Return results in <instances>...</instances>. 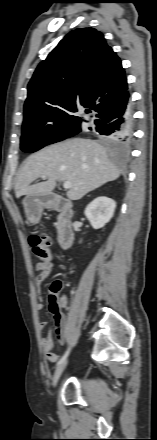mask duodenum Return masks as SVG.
<instances>
[{
  "instance_id": "1",
  "label": "duodenum",
  "mask_w": 157,
  "mask_h": 440,
  "mask_svg": "<svg viewBox=\"0 0 157 440\" xmlns=\"http://www.w3.org/2000/svg\"><path fill=\"white\" fill-rule=\"evenodd\" d=\"M41 201L51 209L59 212L57 220L58 242L63 249H68L72 245L74 239V231L72 227L74 210L72 204L68 200L55 195L42 197Z\"/></svg>"
}]
</instances>
